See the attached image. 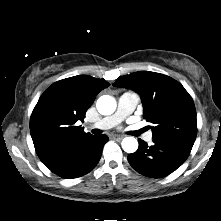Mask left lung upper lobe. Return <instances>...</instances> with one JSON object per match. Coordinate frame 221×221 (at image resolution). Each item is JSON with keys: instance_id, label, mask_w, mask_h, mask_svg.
I'll return each mask as SVG.
<instances>
[{"instance_id": "1", "label": "left lung upper lobe", "mask_w": 221, "mask_h": 221, "mask_svg": "<svg viewBox=\"0 0 221 221\" xmlns=\"http://www.w3.org/2000/svg\"><path fill=\"white\" fill-rule=\"evenodd\" d=\"M113 85L130 88L141 96L143 117L155 124L152 138L193 146L197 135L196 110L180 83L160 73L140 71L119 77Z\"/></svg>"}]
</instances>
